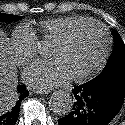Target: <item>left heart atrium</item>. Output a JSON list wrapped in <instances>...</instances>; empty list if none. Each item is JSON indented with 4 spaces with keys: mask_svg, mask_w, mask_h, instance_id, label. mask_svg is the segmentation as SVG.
<instances>
[{
    "mask_svg": "<svg viewBox=\"0 0 125 125\" xmlns=\"http://www.w3.org/2000/svg\"><path fill=\"white\" fill-rule=\"evenodd\" d=\"M70 78V73L58 58L37 60L23 72L24 81L37 90H47L62 85Z\"/></svg>",
    "mask_w": 125,
    "mask_h": 125,
    "instance_id": "obj_1",
    "label": "left heart atrium"
}]
</instances>
